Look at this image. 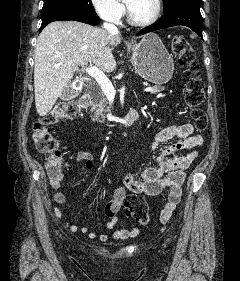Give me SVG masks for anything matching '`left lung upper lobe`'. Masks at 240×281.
<instances>
[{
	"mask_svg": "<svg viewBox=\"0 0 240 281\" xmlns=\"http://www.w3.org/2000/svg\"><path fill=\"white\" fill-rule=\"evenodd\" d=\"M182 1H186V0H163V4H164V12L167 11L168 9H170L173 5L182 2ZM191 1H197L201 3V0H191Z\"/></svg>",
	"mask_w": 240,
	"mask_h": 281,
	"instance_id": "obj_1",
	"label": "left lung upper lobe"
}]
</instances>
